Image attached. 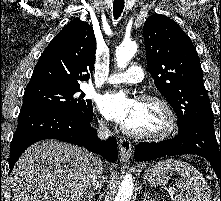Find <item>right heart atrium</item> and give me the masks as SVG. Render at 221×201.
<instances>
[{
	"label": "right heart atrium",
	"mask_w": 221,
	"mask_h": 201,
	"mask_svg": "<svg viewBox=\"0 0 221 201\" xmlns=\"http://www.w3.org/2000/svg\"><path fill=\"white\" fill-rule=\"evenodd\" d=\"M99 123H100V125H104V121L103 120H100Z\"/></svg>",
	"instance_id": "d8ad5b80"
}]
</instances>
